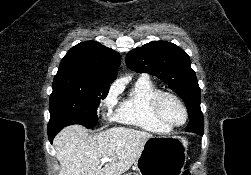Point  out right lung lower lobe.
<instances>
[{"mask_svg": "<svg viewBox=\"0 0 251 175\" xmlns=\"http://www.w3.org/2000/svg\"><path fill=\"white\" fill-rule=\"evenodd\" d=\"M60 131V128H55V129H50L49 125H48V137L50 142L52 143L53 138L55 137V135Z\"/></svg>", "mask_w": 251, "mask_h": 175, "instance_id": "obj_1", "label": "right lung lower lobe"}]
</instances>
